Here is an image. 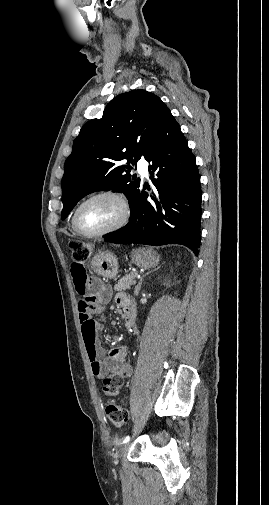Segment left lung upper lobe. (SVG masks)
<instances>
[{
	"label": "left lung upper lobe",
	"mask_w": 269,
	"mask_h": 505,
	"mask_svg": "<svg viewBox=\"0 0 269 505\" xmlns=\"http://www.w3.org/2000/svg\"><path fill=\"white\" fill-rule=\"evenodd\" d=\"M169 112L155 94L132 90L115 97L102 118L84 124L65 162L61 219L84 196L100 190L122 191L132 209L141 185L130 171L145 157L152 135ZM123 159L127 165L120 163Z\"/></svg>",
	"instance_id": "5c2ea615"
}]
</instances>
